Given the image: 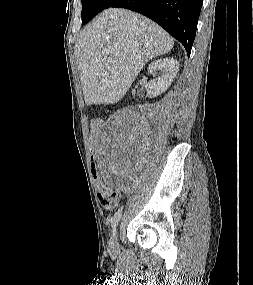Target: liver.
<instances>
[{
  "instance_id": "1",
  "label": "liver",
  "mask_w": 253,
  "mask_h": 285,
  "mask_svg": "<svg viewBox=\"0 0 253 285\" xmlns=\"http://www.w3.org/2000/svg\"><path fill=\"white\" fill-rule=\"evenodd\" d=\"M173 46L164 29L138 13L103 11L84 29L75 47L86 105L120 101L144 64Z\"/></svg>"
}]
</instances>
